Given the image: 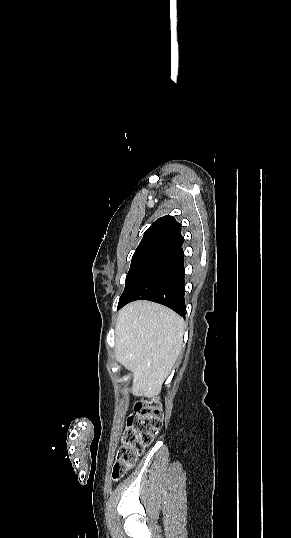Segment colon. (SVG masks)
I'll return each mask as SVG.
<instances>
[{"instance_id":"colon-1","label":"colon","mask_w":291,"mask_h":538,"mask_svg":"<svg viewBox=\"0 0 291 538\" xmlns=\"http://www.w3.org/2000/svg\"><path fill=\"white\" fill-rule=\"evenodd\" d=\"M163 409L156 400H140L128 417L123 442L112 469V479L118 480L129 471L143 450L161 429Z\"/></svg>"}]
</instances>
